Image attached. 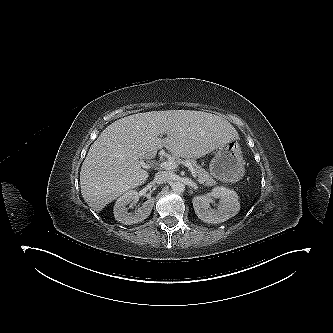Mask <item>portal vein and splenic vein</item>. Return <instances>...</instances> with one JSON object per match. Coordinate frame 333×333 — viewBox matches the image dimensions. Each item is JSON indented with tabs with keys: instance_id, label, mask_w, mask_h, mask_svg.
Wrapping results in <instances>:
<instances>
[{
	"instance_id": "obj_1",
	"label": "portal vein and splenic vein",
	"mask_w": 333,
	"mask_h": 333,
	"mask_svg": "<svg viewBox=\"0 0 333 333\" xmlns=\"http://www.w3.org/2000/svg\"><path fill=\"white\" fill-rule=\"evenodd\" d=\"M184 165L190 170L192 176L194 178L197 177L194 167L190 163H184ZM160 167L165 169H175L177 167V163L175 161H165L160 164Z\"/></svg>"
}]
</instances>
